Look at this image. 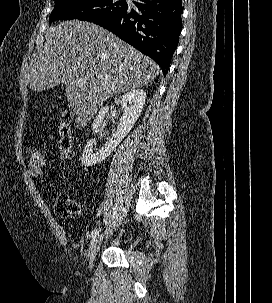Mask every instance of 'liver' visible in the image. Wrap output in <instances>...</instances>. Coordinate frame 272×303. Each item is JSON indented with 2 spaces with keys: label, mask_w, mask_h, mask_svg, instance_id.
Masks as SVG:
<instances>
[{
  "label": "liver",
  "mask_w": 272,
  "mask_h": 303,
  "mask_svg": "<svg viewBox=\"0 0 272 303\" xmlns=\"http://www.w3.org/2000/svg\"><path fill=\"white\" fill-rule=\"evenodd\" d=\"M159 72L155 61L106 29L71 20L47 29L28 82L38 92L64 84L76 126L82 128L109 97L147 85Z\"/></svg>",
  "instance_id": "liver-1"
}]
</instances>
